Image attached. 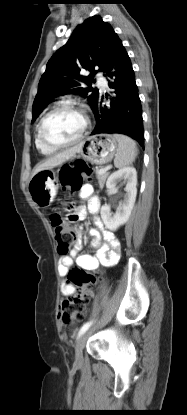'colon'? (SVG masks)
<instances>
[{
    "label": "colon",
    "mask_w": 187,
    "mask_h": 415,
    "mask_svg": "<svg viewBox=\"0 0 187 415\" xmlns=\"http://www.w3.org/2000/svg\"><path fill=\"white\" fill-rule=\"evenodd\" d=\"M92 174V168L87 165H70L60 171V179L69 193L74 194L81 189L83 178H89ZM70 219L73 220L72 217ZM50 222L54 230L58 253L62 256L66 255L76 240V233L59 213L51 214ZM68 279L74 284L77 292L61 301L60 319L65 326L83 319L93 289L100 284L101 276L96 272L75 268L69 272Z\"/></svg>",
    "instance_id": "colon-1"
}]
</instances>
